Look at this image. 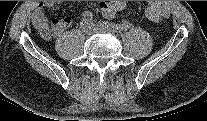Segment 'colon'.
Masks as SVG:
<instances>
[{"instance_id": "1", "label": "colon", "mask_w": 207, "mask_h": 121, "mask_svg": "<svg viewBox=\"0 0 207 121\" xmlns=\"http://www.w3.org/2000/svg\"><path fill=\"white\" fill-rule=\"evenodd\" d=\"M145 14L148 19L159 22L167 18L170 14L169 7L162 1H150L146 5Z\"/></svg>"}]
</instances>
